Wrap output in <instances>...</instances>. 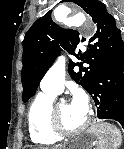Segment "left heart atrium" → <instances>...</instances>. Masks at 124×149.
I'll return each mask as SVG.
<instances>
[{"instance_id": "left-heart-atrium-1", "label": "left heart atrium", "mask_w": 124, "mask_h": 149, "mask_svg": "<svg viewBox=\"0 0 124 149\" xmlns=\"http://www.w3.org/2000/svg\"><path fill=\"white\" fill-rule=\"evenodd\" d=\"M70 104L74 109L84 114H88L89 111L88 98L82 90H77L73 93Z\"/></svg>"}]
</instances>
